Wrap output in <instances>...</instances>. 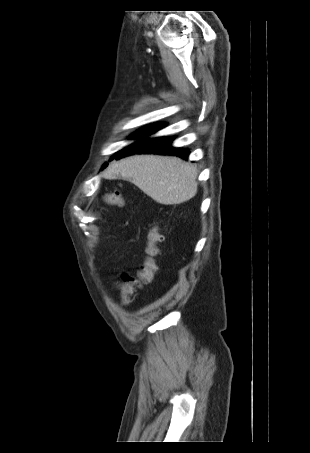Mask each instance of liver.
<instances>
[{
    "mask_svg": "<svg viewBox=\"0 0 310 453\" xmlns=\"http://www.w3.org/2000/svg\"><path fill=\"white\" fill-rule=\"evenodd\" d=\"M118 174L164 205L181 204L197 193V169L178 157H127L113 163L103 176L112 179Z\"/></svg>",
    "mask_w": 310,
    "mask_h": 453,
    "instance_id": "liver-1",
    "label": "liver"
}]
</instances>
